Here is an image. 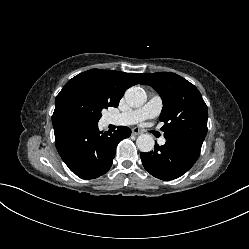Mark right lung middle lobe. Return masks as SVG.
Returning <instances> with one entry per match:
<instances>
[{"mask_svg": "<svg viewBox=\"0 0 249 249\" xmlns=\"http://www.w3.org/2000/svg\"><path fill=\"white\" fill-rule=\"evenodd\" d=\"M53 116L67 115L90 124H96L102 117L107 103L93 90L84 85H65L55 100Z\"/></svg>", "mask_w": 249, "mask_h": 249, "instance_id": "right-lung-middle-lobe-1", "label": "right lung middle lobe"}]
</instances>
